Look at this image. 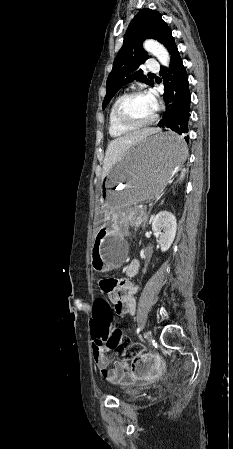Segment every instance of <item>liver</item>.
<instances>
[{
	"label": "liver",
	"mask_w": 233,
	"mask_h": 449,
	"mask_svg": "<svg viewBox=\"0 0 233 449\" xmlns=\"http://www.w3.org/2000/svg\"><path fill=\"white\" fill-rule=\"evenodd\" d=\"M159 132L158 128H147L133 133H123L122 137L111 141L106 149L102 179H104L110 169L119 161H121L124 154L137 142L146 138L149 135Z\"/></svg>",
	"instance_id": "6515ba94"
}]
</instances>
